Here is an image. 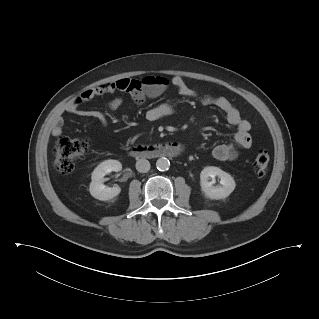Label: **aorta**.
Returning a JSON list of instances; mask_svg holds the SVG:
<instances>
[{
    "label": "aorta",
    "mask_w": 319,
    "mask_h": 319,
    "mask_svg": "<svg viewBox=\"0 0 319 319\" xmlns=\"http://www.w3.org/2000/svg\"><path fill=\"white\" fill-rule=\"evenodd\" d=\"M156 167L159 171H166L170 167V162L167 158H159L156 162Z\"/></svg>",
    "instance_id": "1"
}]
</instances>
